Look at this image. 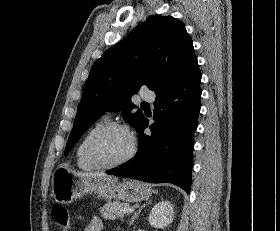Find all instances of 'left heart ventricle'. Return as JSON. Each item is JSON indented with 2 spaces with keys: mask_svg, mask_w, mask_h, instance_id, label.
I'll return each instance as SVG.
<instances>
[{
  "mask_svg": "<svg viewBox=\"0 0 280 231\" xmlns=\"http://www.w3.org/2000/svg\"><path fill=\"white\" fill-rule=\"evenodd\" d=\"M129 148L128 136L120 130H111L96 143L93 154L100 163H111L119 160Z\"/></svg>",
  "mask_w": 280,
  "mask_h": 231,
  "instance_id": "obj_1",
  "label": "left heart ventricle"
}]
</instances>
